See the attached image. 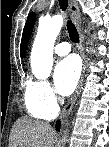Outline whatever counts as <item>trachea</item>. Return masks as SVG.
<instances>
[{
  "label": "trachea",
  "mask_w": 109,
  "mask_h": 147,
  "mask_svg": "<svg viewBox=\"0 0 109 147\" xmlns=\"http://www.w3.org/2000/svg\"><path fill=\"white\" fill-rule=\"evenodd\" d=\"M67 4H68L67 0H59L60 8L63 11L66 10ZM67 28H68V33H69V37H70L71 41L74 42V43L79 42L78 32H77L74 24L70 20L67 21Z\"/></svg>",
  "instance_id": "trachea-1"
}]
</instances>
